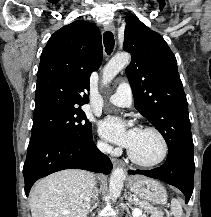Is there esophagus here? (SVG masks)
I'll return each mask as SVG.
<instances>
[{
  "mask_svg": "<svg viewBox=\"0 0 211 217\" xmlns=\"http://www.w3.org/2000/svg\"><path fill=\"white\" fill-rule=\"evenodd\" d=\"M104 29H105V31H110L112 33H115V27L112 23L105 24ZM111 161H112L113 165H115V166H119V165L123 166L124 165V163L119 159L112 158Z\"/></svg>",
  "mask_w": 211,
  "mask_h": 217,
  "instance_id": "34e87169",
  "label": "esophagus"
}]
</instances>
